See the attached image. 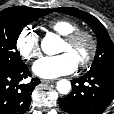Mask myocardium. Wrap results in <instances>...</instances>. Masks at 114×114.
Returning <instances> with one entry per match:
<instances>
[{
    "instance_id": "obj_1",
    "label": "myocardium",
    "mask_w": 114,
    "mask_h": 114,
    "mask_svg": "<svg viewBox=\"0 0 114 114\" xmlns=\"http://www.w3.org/2000/svg\"><path fill=\"white\" fill-rule=\"evenodd\" d=\"M82 40H85L88 43L89 50L86 56L83 57L78 64L81 67H87L92 63L97 53L98 43L95 36L89 31L77 29L65 35L63 39L69 47H75Z\"/></svg>"
}]
</instances>
